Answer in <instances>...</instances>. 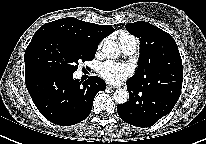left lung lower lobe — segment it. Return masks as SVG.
Returning <instances> with one entry per match:
<instances>
[{
	"instance_id": "1",
	"label": "left lung lower lobe",
	"mask_w": 206,
	"mask_h": 144,
	"mask_svg": "<svg viewBox=\"0 0 206 144\" xmlns=\"http://www.w3.org/2000/svg\"><path fill=\"white\" fill-rule=\"evenodd\" d=\"M129 101L117 105L120 118L137 127H150L169 114L180 97L182 83L149 87L128 80Z\"/></svg>"
}]
</instances>
